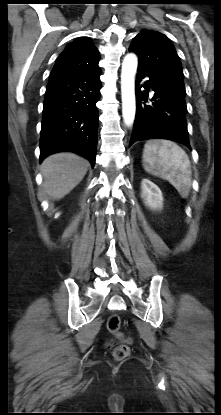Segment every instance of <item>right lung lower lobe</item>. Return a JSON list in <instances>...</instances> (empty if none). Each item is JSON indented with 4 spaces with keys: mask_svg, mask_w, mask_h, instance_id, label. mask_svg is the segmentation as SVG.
Wrapping results in <instances>:
<instances>
[{
    "mask_svg": "<svg viewBox=\"0 0 221 415\" xmlns=\"http://www.w3.org/2000/svg\"><path fill=\"white\" fill-rule=\"evenodd\" d=\"M100 69L49 79L43 104L40 161L71 151L95 164Z\"/></svg>",
    "mask_w": 221,
    "mask_h": 415,
    "instance_id": "98d812e1",
    "label": "right lung lower lobe"
}]
</instances>
